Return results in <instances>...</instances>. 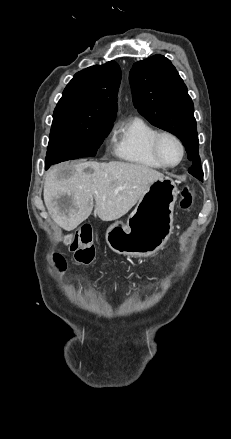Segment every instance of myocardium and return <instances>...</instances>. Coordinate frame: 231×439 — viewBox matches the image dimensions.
Instances as JSON below:
<instances>
[{"mask_svg": "<svg viewBox=\"0 0 231 439\" xmlns=\"http://www.w3.org/2000/svg\"><path fill=\"white\" fill-rule=\"evenodd\" d=\"M163 137H170L173 140H175L177 142V144L180 147V151H181V156L179 161L176 164H168L162 157L161 153H160V140ZM151 152L154 156V158L165 168H175L177 166H179L185 157V145L183 143V141L180 139V137L178 135H176L175 133L171 132V131H159L157 132L154 137L151 140Z\"/></svg>", "mask_w": 231, "mask_h": 439, "instance_id": "myocardium-1", "label": "myocardium"}]
</instances>
